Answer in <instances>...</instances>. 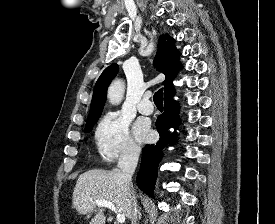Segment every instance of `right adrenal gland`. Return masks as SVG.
<instances>
[{"instance_id": "2a0ac1e0", "label": "right adrenal gland", "mask_w": 275, "mask_h": 224, "mask_svg": "<svg viewBox=\"0 0 275 224\" xmlns=\"http://www.w3.org/2000/svg\"><path fill=\"white\" fill-rule=\"evenodd\" d=\"M141 216H142V214H141L140 209H139L138 210V217H139V219H141Z\"/></svg>"}]
</instances>
